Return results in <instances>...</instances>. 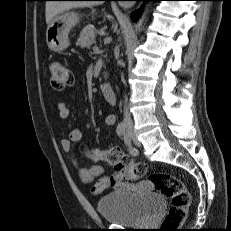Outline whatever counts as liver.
Masks as SVG:
<instances>
[{"label":"liver","mask_w":231,"mask_h":231,"mask_svg":"<svg viewBox=\"0 0 231 231\" xmlns=\"http://www.w3.org/2000/svg\"><path fill=\"white\" fill-rule=\"evenodd\" d=\"M102 4L94 1H48L46 3L45 17L49 25L51 21L61 12L72 8L92 7Z\"/></svg>","instance_id":"liver-1"}]
</instances>
